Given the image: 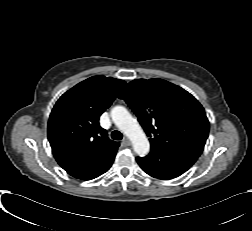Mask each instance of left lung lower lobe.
Segmentation results:
<instances>
[{
  "instance_id": "obj_1",
  "label": "left lung lower lobe",
  "mask_w": 252,
  "mask_h": 231,
  "mask_svg": "<svg viewBox=\"0 0 252 231\" xmlns=\"http://www.w3.org/2000/svg\"><path fill=\"white\" fill-rule=\"evenodd\" d=\"M199 156L179 150L153 149L146 157H137L140 167L158 179H172L186 172Z\"/></svg>"
}]
</instances>
